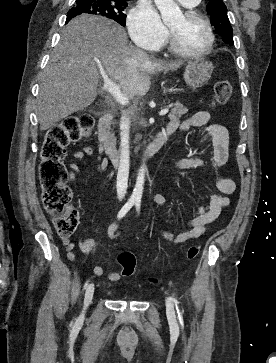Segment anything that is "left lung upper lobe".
Wrapping results in <instances>:
<instances>
[{"instance_id": "5c2ea615", "label": "left lung upper lobe", "mask_w": 276, "mask_h": 363, "mask_svg": "<svg viewBox=\"0 0 276 363\" xmlns=\"http://www.w3.org/2000/svg\"><path fill=\"white\" fill-rule=\"evenodd\" d=\"M207 12L211 16V24L217 34L223 37V41L232 45V27L227 16V8L222 0H211L207 5Z\"/></svg>"}]
</instances>
